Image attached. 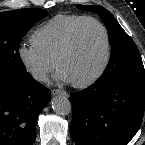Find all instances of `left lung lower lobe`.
Segmentation results:
<instances>
[{"label": "left lung lower lobe", "mask_w": 145, "mask_h": 145, "mask_svg": "<svg viewBox=\"0 0 145 145\" xmlns=\"http://www.w3.org/2000/svg\"><path fill=\"white\" fill-rule=\"evenodd\" d=\"M70 131L76 145H126L139 130L145 109V75L95 83L70 95Z\"/></svg>", "instance_id": "left-lung-lower-lobe-1"}]
</instances>
